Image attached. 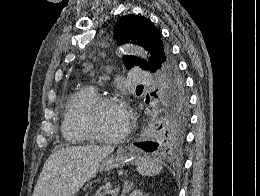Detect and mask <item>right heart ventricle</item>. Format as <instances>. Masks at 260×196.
Listing matches in <instances>:
<instances>
[{"label": "right heart ventricle", "mask_w": 260, "mask_h": 196, "mask_svg": "<svg viewBox=\"0 0 260 196\" xmlns=\"http://www.w3.org/2000/svg\"><path fill=\"white\" fill-rule=\"evenodd\" d=\"M97 97V92L92 87L79 89L66 107L61 132L70 145H77L90 140V136L79 127L78 115L75 110H85L88 104Z\"/></svg>", "instance_id": "1"}]
</instances>
